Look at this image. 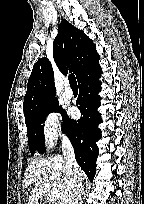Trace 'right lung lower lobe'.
Wrapping results in <instances>:
<instances>
[{"label": "right lung lower lobe", "instance_id": "98d812e1", "mask_svg": "<svg viewBox=\"0 0 144 204\" xmlns=\"http://www.w3.org/2000/svg\"><path fill=\"white\" fill-rule=\"evenodd\" d=\"M101 73L98 62L81 75L78 79L80 92L76 105L82 117L75 121L66 116L63 120V129L74 147L76 160L91 182L96 173V142L101 138V130L98 128L101 114L97 111L101 100L97 95L101 90V82L98 80Z\"/></svg>", "mask_w": 144, "mask_h": 204}]
</instances>
